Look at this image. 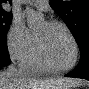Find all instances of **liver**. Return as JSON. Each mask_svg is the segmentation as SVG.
<instances>
[{"mask_svg": "<svg viewBox=\"0 0 89 89\" xmlns=\"http://www.w3.org/2000/svg\"><path fill=\"white\" fill-rule=\"evenodd\" d=\"M82 84L74 79H32L23 73H10L3 70L0 73L1 89H55L59 86L73 87Z\"/></svg>", "mask_w": 89, "mask_h": 89, "instance_id": "6515ba94", "label": "liver"}]
</instances>
